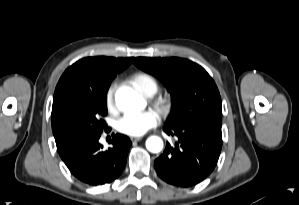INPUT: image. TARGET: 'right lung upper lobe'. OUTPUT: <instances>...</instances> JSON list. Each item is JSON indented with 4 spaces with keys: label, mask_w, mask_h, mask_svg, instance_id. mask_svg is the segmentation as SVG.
Masks as SVG:
<instances>
[{
    "label": "right lung upper lobe",
    "mask_w": 299,
    "mask_h": 205,
    "mask_svg": "<svg viewBox=\"0 0 299 205\" xmlns=\"http://www.w3.org/2000/svg\"><path fill=\"white\" fill-rule=\"evenodd\" d=\"M133 58L87 57L71 65L61 76L54 93L53 109L73 90L113 80Z\"/></svg>",
    "instance_id": "1"
}]
</instances>
